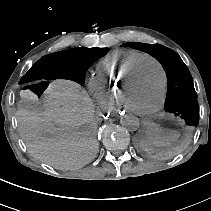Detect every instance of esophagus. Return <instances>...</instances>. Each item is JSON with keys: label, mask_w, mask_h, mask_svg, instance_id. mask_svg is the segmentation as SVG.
Listing matches in <instances>:
<instances>
[{"label": "esophagus", "mask_w": 211, "mask_h": 211, "mask_svg": "<svg viewBox=\"0 0 211 211\" xmlns=\"http://www.w3.org/2000/svg\"><path fill=\"white\" fill-rule=\"evenodd\" d=\"M125 114V109L124 108H117L114 110V115L115 116H120Z\"/></svg>", "instance_id": "esophagus-1"}]
</instances>
